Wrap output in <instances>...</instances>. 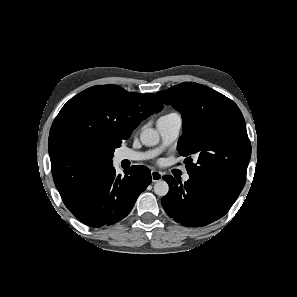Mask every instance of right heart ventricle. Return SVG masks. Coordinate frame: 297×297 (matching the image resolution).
Segmentation results:
<instances>
[{
	"label": "right heart ventricle",
	"instance_id": "obj_1",
	"mask_svg": "<svg viewBox=\"0 0 297 297\" xmlns=\"http://www.w3.org/2000/svg\"><path fill=\"white\" fill-rule=\"evenodd\" d=\"M168 115H177V114H175V113H170V114H168Z\"/></svg>",
	"mask_w": 297,
	"mask_h": 297
}]
</instances>
